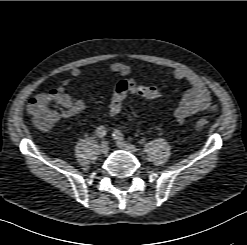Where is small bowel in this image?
<instances>
[{
  "label": "small bowel",
  "instance_id": "1",
  "mask_svg": "<svg viewBox=\"0 0 247 245\" xmlns=\"http://www.w3.org/2000/svg\"><path fill=\"white\" fill-rule=\"evenodd\" d=\"M109 70L119 77H127L132 71L130 66L121 62L111 64ZM170 73L174 78L184 80L189 85L175 108L174 115L177 121L184 122L189 117L197 115L200 112L216 110V106L211 101L209 89L198 75L181 68H173ZM81 74V67L76 66L72 68L71 75L73 77H80ZM70 84L71 80L65 79L59 87L53 88L47 93L51 95H60L66 100V108L63 114L65 117L78 115L85 109V103L83 101L73 100L66 93V89Z\"/></svg>",
  "mask_w": 247,
  "mask_h": 245
}]
</instances>
